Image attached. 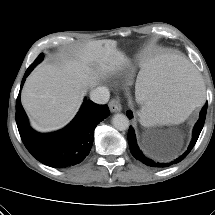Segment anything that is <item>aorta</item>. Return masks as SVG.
<instances>
[{"instance_id":"1","label":"aorta","mask_w":215,"mask_h":215,"mask_svg":"<svg viewBox=\"0 0 215 215\" xmlns=\"http://www.w3.org/2000/svg\"><path fill=\"white\" fill-rule=\"evenodd\" d=\"M113 126L120 131L127 130L129 128V119L124 114H115L112 118Z\"/></svg>"}]
</instances>
